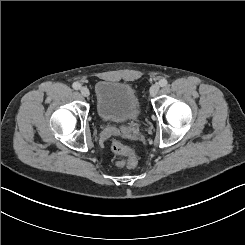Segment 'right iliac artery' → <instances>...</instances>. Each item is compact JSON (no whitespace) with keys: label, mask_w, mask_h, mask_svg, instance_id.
Returning <instances> with one entry per match:
<instances>
[{"label":"right iliac artery","mask_w":245,"mask_h":245,"mask_svg":"<svg viewBox=\"0 0 245 245\" xmlns=\"http://www.w3.org/2000/svg\"><path fill=\"white\" fill-rule=\"evenodd\" d=\"M72 87H73L75 90H79V89L81 88V85H80V83H78V82H74L73 85H72Z\"/></svg>","instance_id":"right-iliac-artery-1"}]
</instances>
